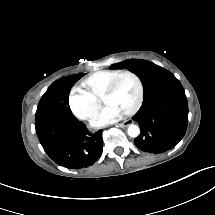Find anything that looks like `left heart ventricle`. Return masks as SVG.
Here are the masks:
<instances>
[{"label": "left heart ventricle", "mask_w": 215, "mask_h": 215, "mask_svg": "<svg viewBox=\"0 0 215 215\" xmlns=\"http://www.w3.org/2000/svg\"><path fill=\"white\" fill-rule=\"evenodd\" d=\"M133 83L128 78H122L117 91L111 93L109 100L111 104L118 106L122 104H131L133 98Z\"/></svg>", "instance_id": "obj_1"}]
</instances>
